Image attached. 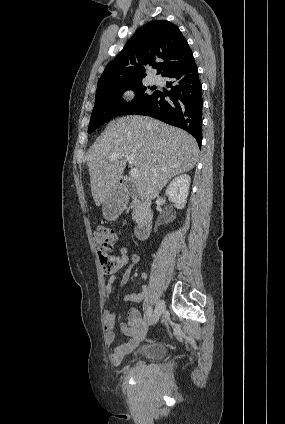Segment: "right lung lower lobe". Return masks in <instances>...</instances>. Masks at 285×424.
I'll use <instances>...</instances> for the list:
<instances>
[{"instance_id":"1","label":"right lung lower lobe","mask_w":285,"mask_h":424,"mask_svg":"<svg viewBox=\"0 0 285 424\" xmlns=\"http://www.w3.org/2000/svg\"><path fill=\"white\" fill-rule=\"evenodd\" d=\"M163 77L170 78L169 93L157 91L145 104L129 114L147 115L189 132L198 142L202 141V85L194 58ZM168 96L170 100L166 101Z\"/></svg>"}]
</instances>
